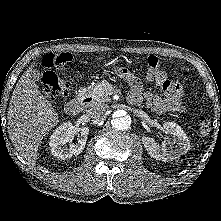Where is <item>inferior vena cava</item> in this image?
I'll return each instance as SVG.
<instances>
[{
  "label": "inferior vena cava",
  "instance_id": "obj_1",
  "mask_svg": "<svg viewBox=\"0 0 221 221\" xmlns=\"http://www.w3.org/2000/svg\"><path fill=\"white\" fill-rule=\"evenodd\" d=\"M109 107L106 104H93L87 110L88 116L95 121H101L108 111Z\"/></svg>",
  "mask_w": 221,
  "mask_h": 221
}]
</instances>
